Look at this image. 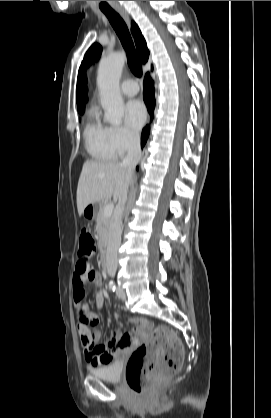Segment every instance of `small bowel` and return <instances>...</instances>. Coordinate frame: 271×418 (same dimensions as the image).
I'll return each instance as SVG.
<instances>
[{
  "instance_id": "obj_1",
  "label": "small bowel",
  "mask_w": 271,
  "mask_h": 418,
  "mask_svg": "<svg viewBox=\"0 0 271 418\" xmlns=\"http://www.w3.org/2000/svg\"><path fill=\"white\" fill-rule=\"evenodd\" d=\"M87 283L89 286L99 285L100 277L96 271H91V261H77L72 287L74 313L78 314L79 336L86 360L94 367H101L125 355L137 344L138 340L132 333L114 332L105 345H98L101 332L97 329L93 330V328H97L98 321L97 319H91L89 314L92 312V307L88 305L87 299H84ZM103 304L104 295L102 292H98L95 296V305L98 309H101ZM128 321L136 326L135 332L137 334L146 325L145 321L137 317L130 318Z\"/></svg>"
}]
</instances>
